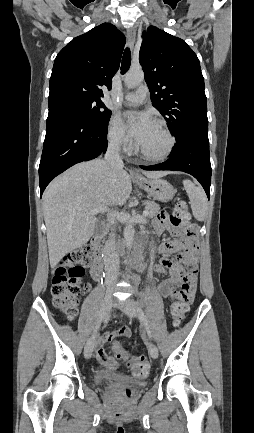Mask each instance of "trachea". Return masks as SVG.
Listing matches in <instances>:
<instances>
[{
	"instance_id": "obj_1",
	"label": "trachea",
	"mask_w": 254,
	"mask_h": 433,
	"mask_svg": "<svg viewBox=\"0 0 254 433\" xmlns=\"http://www.w3.org/2000/svg\"><path fill=\"white\" fill-rule=\"evenodd\" d=\"M131 64V52L129 48H126L122 57V63H121V74L124 75Z\"/></svg>"
}]
</instances>
